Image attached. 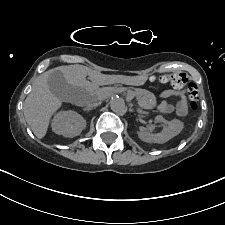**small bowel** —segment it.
<instances>
[{
    "label": "small bowel",
    "instance_id": "1",
    "mask_svg": "<svg viewBox=\"0 0 225 225\" xmlns=\"http://www.w3.org/2000/svg\"><path fill=\"white\" fill-rule=\"evenodd\" d=\"M162 97L165 98L166 101L159 105L158 110L160 112L165 114L175 112V114L179 117H184L188 114L185 90H167L163 92Z\"/></svg>",
    "mask_w": 225,
    "mask_h": 225
}]
</instances>
